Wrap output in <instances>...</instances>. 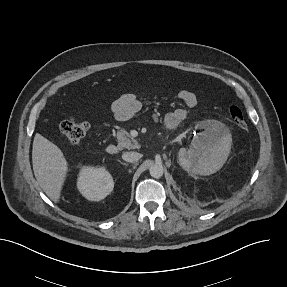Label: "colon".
<instances>
[{
    "label": "colon",
    "mask_w": 287,
    "mask_h": 287,
    "mask_svg": "<svg viewBox=\"0 0 287 287\" xmlns=\"http://www.w3.org/2000/svg\"><path fill=\"white\" fill-rule=\"evenodd\" d=\"M232 122L240 128H246V120L241 108L231 105L228 110ZM89 124L86 121H79L69 118L60 124L61 135L71 144H78L87 134Z\"/></svg>",
    "instance_id": "1"
}]
</instances>
